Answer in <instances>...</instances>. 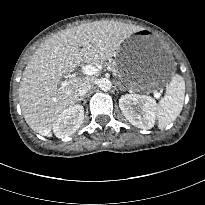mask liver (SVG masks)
Segmentation results:
<instances>
[{
    "instance_id": "obj_1",
    "label": "liver",
    "mask_w": 205,
    "mask_h": 205,
    "mask_svg": "<svg viewBox=\"0 0 205 205\" xmlns=\"http://www.w3.org/2000/svg\"><path fill=\"white\" fill-rule=\"evenodd\" d=\"M139 30L122 22L103 20L62 30L45 41L28 62L19 87L22 113L30 128L51 137L56 118L75 105L79 86L87 79L61 83L62 76L81 62L110 59L122 42Z\"/></svg>"
}]
</instances>
